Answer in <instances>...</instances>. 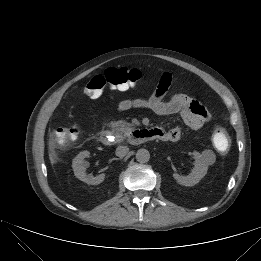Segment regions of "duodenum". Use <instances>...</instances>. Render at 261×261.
<instances>
[{
    "label": "duodenum",
    "instance_id": "duodenum-1",
    "mask_svg": "<svg viewBox=\"0 0 261 261\" xmlns=\"http://www.w3.org/2000/svg\"><path fill=\"white\" fill-rule=\"evenodd\" d=\"M160 133L155 129H135L131 132L129 141L132 144H141L150 140L159 139ZM100 140L104 145L115 142V135L110 129H104L100 133Z\"/></svg>",
    "mask_w": 261,
    "mask_h": 261
}]
</instances>
